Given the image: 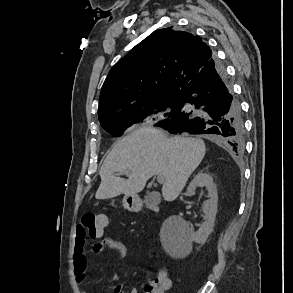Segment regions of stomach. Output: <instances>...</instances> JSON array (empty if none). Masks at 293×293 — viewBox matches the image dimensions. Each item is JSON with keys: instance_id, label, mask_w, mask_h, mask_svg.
I'll return each instance as SVG.
<instances>
[{"instance_id": "stomach-1", "label": "stomach", "mask_w": 293, "mask_h": 293, "mask_svg": "<svg viewBox=\"0 0 293 293\" xmlns=\"http://www.w3.org/2000/svg\"><path fill=\"white\" fill-rule=\"evenodd\" d=\"M136 205V200L133 197L125 196L123 199V206L130 210L133 209Z\"/></svg>"}]
</instances>
